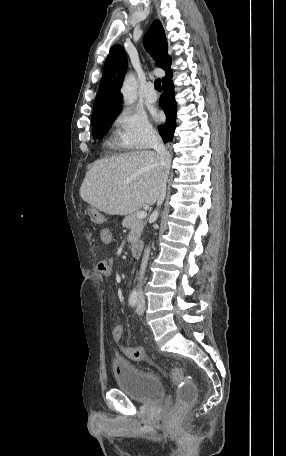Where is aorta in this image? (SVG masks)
<instances>
[{
  "instance_id": "aorta-1",
  "label": "aorta",
  "mask_w": 286,
  "mask_h": 456,
  "mask_svg": "<svg viewBox=\"0 0 286 456\" xmlns=\"http://www.w3.org/2000/svg\"><path fill=\"white\" fill-rule=\"evenodd\" d=\"M137 90V81L133 74L127 75L123 82L121 93L123 95V100L126 105H132L136 98Z\"/></svg>"
}]
</instances>
